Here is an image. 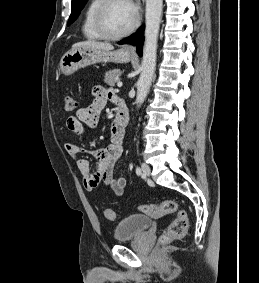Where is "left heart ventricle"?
<instances>
[{"label": "left heart ventricle", "instance_id": "obj_1", "mask_svg": "<svg viewBox=\"0 0 259 283\" xmlns=\"http://www.w3.org/2000/svg\"><path fill=\"white\" fill-rule=\"evenodd\" d=\"M134 20V9L127 0H114L106 9L104 24L110 33L125 31Z\"/></svg>", "mask_w": 259, "mask_h": 283}]
</instances>
